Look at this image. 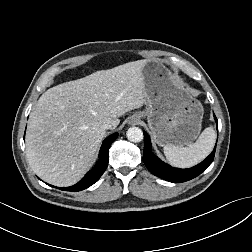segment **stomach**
<instances>
[{
  "label": "stomach",
  "mask_w": 252,
  "mask_h": 252,
  "mask_svg": "<svg viewBox=\"0 0 252 252\" xmlns=\"http://www.w3.org/2000/svg\"><path fill=\"white\" fill-rule=\"evenodd\" d=\"M147 116L154 141L160 145L192 143L201 131L203 106L180 87L162 63L146 62L142 69Z\"/></svg>",
  "instance_id": "obj_1"
}]
</instances>
